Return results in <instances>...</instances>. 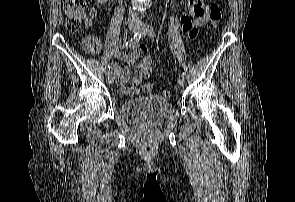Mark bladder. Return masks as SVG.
I'll return each instance as SVG.
<instances>
[{"instance_id":"bladder-1","label":"bladder","mask_w":295,"mask_h":202,"mask_svg":"<svg viewBox=\"0 0 295 202\" xmlns=\"http://www.w3.org/2000/svg\"><path fill=\"white\" fill-rule=\"evenodd\" d=\"M119 113L131 122L159 126L172 118L174 108L171 102L160 96L149 95L123 101Z\"/></svg>"}]
</instances>
